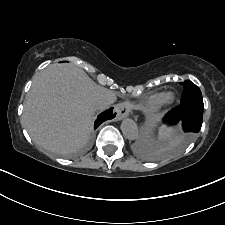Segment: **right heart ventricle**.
Returning <instances> with one entry per match:
<instances>
[{
  "mask_svg": "<svg viewBox=\"0 0 225 225\" xmlns=\"http://www.w3.org/2000/svg\"><path fill=\"white\" fill-rule=\"evenodd\" d=\"M162 93H155L147 97L145 100L146 106L149 109L157 108L161 99Z\"/></svg>",
  "mask_w": 225,
  "mask_h": 225,
  "instance_id": "obj_1",
  "label": "right heart ventricle"
}]
</instances>
